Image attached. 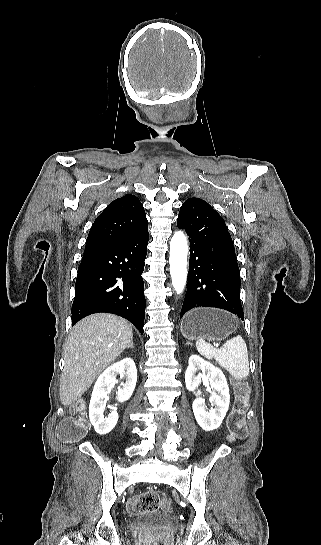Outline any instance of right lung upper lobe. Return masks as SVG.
Returning <instances> with one entry per match:
<instances>
[{
  "mask_svg": "<svg viewBox=\"0 0 321 545\" xmlns=\"http://www.w3.org/2000/svg\"><path fill=\"white\" fill-rule=\"evenodd\" d=\"M146 229L147 219L141 202L127 194L110 203L97 217L84 252L124 242Z\"/></svg>",
  "mask_w": 321,
  "mask_h": 545,
  "instance_id": "obj_1",
  "label": "right lung upper lobe"
}]
</instances>
